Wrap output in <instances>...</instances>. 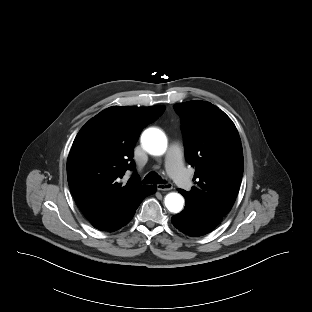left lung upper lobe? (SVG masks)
<instances>
[{
    "instance_id": "left-lung-upper-lobe-1",
    "label": "left lung upper lobe",
    "mask_w": 312,
    "mask_h": 312,
    "mask_svg": "<svg viewBox=\"0 0 312 312\" xmlns=\"http://www.w3.org/2000/svg\"><path fill=\"white\" fill-rule=\"evenodd\" d=\"M181 117L186 159L195 167L186 200L210 213L225 216L235 202L243 175V151L237 129L218 107L206 101L174 105Z\"/></svg>"
}]
</instances>
